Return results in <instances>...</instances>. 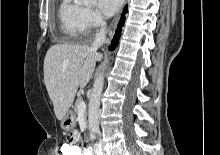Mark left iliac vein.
Wrapping results in <instances>:
<instances>
[{
	"label": "left iliac vein",
	"instance_id": "obj_1",
	"mask_svg": "<svg viewBox=\"0 0 220 155\" xmlns=\"http://www.w3.org/2000/svg\"><path fill=\"white\" fill-rule=\"evenodd\" d=\"M101 155H107V154L103 153V154H101Z\"/></svg>",
	"mask_w": 220,
	"mask_h": 155
}]
</instances>
